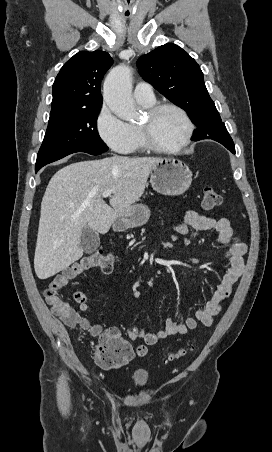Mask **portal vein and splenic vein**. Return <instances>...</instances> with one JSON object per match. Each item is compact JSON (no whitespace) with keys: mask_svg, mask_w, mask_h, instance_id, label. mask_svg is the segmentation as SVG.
I'll use <instances>...</instances> for the list:
<instances>
[{"mask_svg":"<svg viewBox=\"0 0 272 452\" xmlns=\"http://www.w3.org/2000/svg\"><path fill=\"white\" fill-rule=\"evenodd\" d=\"M111 194H112V190H106L102 193V197L107 198V197H110Z\"/></svg>","mask_w":272,"mask_h":452,"instance_id":"portal-vein-and-splenic-vein-1","label":"portal vein and splenic vein"}]
</instances>
